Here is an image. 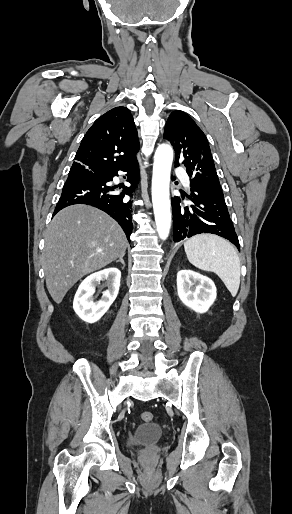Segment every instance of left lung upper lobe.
Returning a JSON list of instances; mask_svg holds the SVG:
<instances>
[{
    "instance_id": "5c2ea615",
    "label": "left lung upper lobe",
    "mask_w": 292,
    "mask_h": 514,
    "mask_svg": "<svg viewBox=\"0 0 292 514\" xmlns=\"http://www.w3.org/2000/svg\"><path fill=\"white\" fill-rule=\"evenodd\" d=\"M164 138L174 147L175 166H179L180 160L186 167L191 186L208 193L223 194L208 140L189 115L180 110L173 111L166 122Z\"/></svg>"
}]
</instances>
